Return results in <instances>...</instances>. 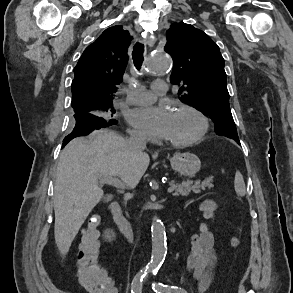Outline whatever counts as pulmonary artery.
<instances>
[{"label": "pulmonary artery", "instance_id": "pulmonary-artery-1", "mask_svg": "<svg viewBox=\"0 0 293 293\" xmlns=\"http://www.w3.org/2000/svg\"><path fill=\"white\" fill-rule=\"evenodd\" d=\"M168 85L165 81H155L152 84V91L141 88L131 90L126 97V101L130 104H149L158 96L165 95Z\"/></svg>", "mask_w": 293, "mask_h": 293}]
</instances>
